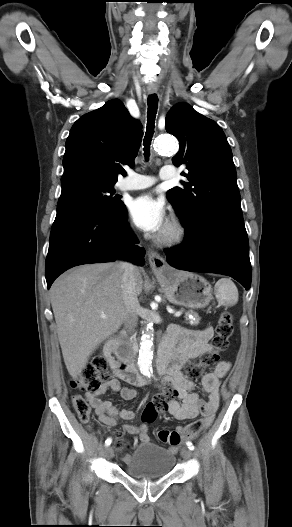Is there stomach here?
<instances>
[{
	"mask_svg": "<svg viewBox=\"0 0 292 527\" xmlns=\"http://www.w3.org/2000/svg\"><path fill=\"white\" fill-rule=\"evenodd\" d=\"M155 275L171 303L196 309L206 307L213 299L211 285L200 275L173 268Z\"/></svg>",
	"mask_w": 292,
	"mask_h": 527,
	"instance_id": "1",
	"label": "stomach"
}]
</instances>
